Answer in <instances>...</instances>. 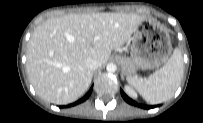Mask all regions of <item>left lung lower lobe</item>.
<instances>
[{"mask_svg": "<svg viewBox=\"0 0 203 123\" xmlns=\"http://www.w3.org/2000/svg\"><path fill=\"white\" fill-rule=\"evenodd\" d=\"M121 95L123 96L124 100L131 105L139 106L141 108H147V109L155 107V106H145V105L138 104L135 101H133L132 99H130L128 96H126V94L123 91H121Z\"/></svg>", "mask_w": 203, "mask_h": 123, "instance_id": "left-lung-lower-lobe-1", "label": "left lung lower lobe"}]
</instances>
